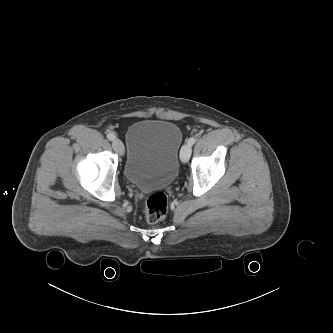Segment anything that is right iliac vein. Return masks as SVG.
<instances>
[{
	"mask_svg": "<svg viewBox=\"0 0 333 333\" xmlns=\"http://www.w3.org/2000/svg\"><path fill=\"white\" fill-rule=\"evenodd\" d=\"M112 147L118 154L122 155L124 153V145L120 139H114L112 141Z\"/></svg>",
	"mask_w": 333,
	"mask_h": 333,
	"instance_id": "right-iliac-vein-1",
	"label": "right iliac vein"
}]
</instances>
